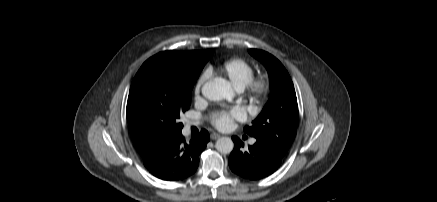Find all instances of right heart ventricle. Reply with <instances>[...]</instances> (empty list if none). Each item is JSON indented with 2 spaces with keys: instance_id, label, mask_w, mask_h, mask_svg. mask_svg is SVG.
<instances>
[{
  "instance_id": "obj_1",
  "label": "right heart ventricle",
  "mask_w": 437,
  "mask_h": 202,
  "mask_svg": "<svg viewBox=\"0 0 437 202\" xmlns=\"http://www.w3.org/2000/svg\"><path fill=\"white\" fill-rule=\"evenodd\" d=\"M226 76L237 90H243L254 76L252 65L242 58H231L216 68Z\"/></svg>"
}]
</instances>
